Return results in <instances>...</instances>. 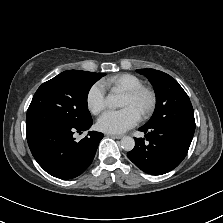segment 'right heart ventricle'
<instances>
[{
    "instance_id": "1",
    "label": "right heart ventricle",
    "mask_w": 223,
    "mask_h": 223,
    "mask_svg": "<svg viewBox=\"0 0 223 223\" xmlns=\"http://www.w3.org/2000/svg\"><path fill=\"white\" fill-rule=\"evenodd\" d=\"M106 87H119L124 93L135 90L143 86L142 80L133 74H120L106 79L104 82Z\"/></svg>"
}]
</instances>
